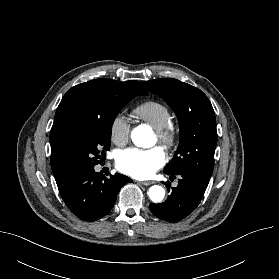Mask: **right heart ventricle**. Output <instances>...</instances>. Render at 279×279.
I'll list each match as a JSON object with an SVG mask.
<instances>
[{"label": "right heart ventricle", "instance_id": "e07e8e85", "mask_svg": "<svg viewBox=\"0 0 279 279\" xmlns=\"http://www.w3.org/2000/svg\"><path fill=\"white\" fill-rule=\"evenodd\" d=\"M132 115L150 124L155 129L172 122L169 108L163 103L155 100L145 101L137 105L132 110Z\"/></svg>", "mask_w": 279, "mask_h": 279}]
</instances>
